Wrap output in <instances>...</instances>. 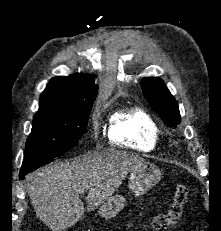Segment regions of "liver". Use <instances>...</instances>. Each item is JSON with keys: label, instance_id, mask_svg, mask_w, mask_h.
<instances>
[{"label": "liver", "instance_id": "1", "mask_svg": "<svg viewBox=\"0 0 221 231\" xmlns=\"http://www.w3.org/2000/svg\"><path fill=\"white\" fill-rule=\"evenodd\" d=\"M144 159L123 152H95L49 164L26 177L36 215L52 231L77 223L84 214L80 199L88 190L87 211L108 200L133 168Z\"/></svg>", "mask_w": 221, "mask_h": 231}]
</instances>
